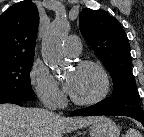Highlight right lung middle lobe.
Instances as JSON below:
<instances>
[{
    "instance_id": "1",
    "label": "right lung middle lobe",
    "mask_w": 144,
    "mask_h": 137,
    "mask_svg": "<svg viewBox=\"0 0 144 137\" xmlns=\"http://www.w3.org/2000/svg\"><path fill=\"white\" fill-rule=\"evenodd\" d=\"M34 57H24L0 62V99L34 100L30 70Z\"/></svg>"
}]
</instances>
